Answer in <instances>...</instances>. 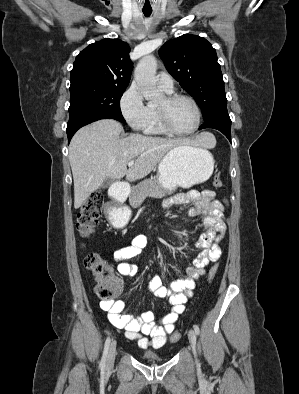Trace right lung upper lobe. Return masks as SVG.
Wrapping results in <instances>:
<instances>
[{
	"instance_id": "cb5924a9",
	"label": "right lung upper lobe",
	"mask_w": 299,
	"mask_h": 394,
	"mask_svg": "<svg viewBox=\"0 0 299 394\" xmlns=\"http://www.w3.org/2000/svg\"><path fill=\"white\" fill-rule=\"evenodd\" d=\"M130 47L119 39H103L81 51L71 70L70 87L85 84L128 86L133 64Z\"/></svg>"
}]
</instances>
